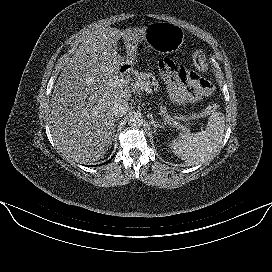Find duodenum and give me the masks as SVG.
Wrapping results in <instances>:
<instances>
[{"instance_id": "1", "label": "duodenum", "mask_w": 272, "mask_h": 272, "mask_svg": "<svg viewBox=\"0 0 272 272\" xmlns=\"http://www.w3.org/2000/svg\"><path fill=\"white\" fill-rule=\"evenodd\" d=\"M119 74H127L129 72V69L126 66H122L118 70Z\"/></svg>"}]
</instances>
